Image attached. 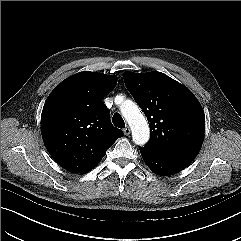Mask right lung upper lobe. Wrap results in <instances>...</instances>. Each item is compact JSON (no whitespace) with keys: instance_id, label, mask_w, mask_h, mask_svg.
<instances>
[{"instance_id":"cb5924a9","label":"right lung upper lobe","mask_w":241,"mask_h":241,"mask_svg":"<svg viewBox=\"0 0 241 241\" xmlns=\"http://www.w3.org/2000/svg\"><path fill=\"white\" fill-rule=\"evenodd\" d=\"M117 84V77L80 72L61 82L48 96L41 116L45 147L63 168L86 173L123 136L115 128L103 98Z\"/></svg>"}]
</instances>
